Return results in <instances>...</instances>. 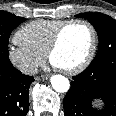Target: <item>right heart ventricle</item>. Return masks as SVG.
Instances as JSON below:
<instances>
[{
	"label": "right heart ventricle",
	"mask_w": 116,
	"mask_h": 116,
	"mask_svg": "<svg viewBox=\"0 0 116 116\" xmlns=\"http://www.w3.org/2000/svg\"><path fill=\"white\" fill-rule=\"evenodd\" d=\"M65 21L61 19H39L31 21L19 29L16 38L32 51L45 55L55 31Z\"/></svg>",
	"instance_id": "right-heart-ventricle-1"
}]
</instances>
